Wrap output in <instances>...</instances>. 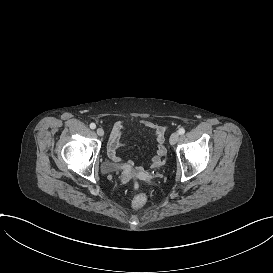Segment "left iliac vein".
<instances>
[{
	"label": "left iliac vein",
	"mask_w": 273,
	"mask_h": 273,
	"mask_svg": "<svg viewBox=\"0 0 273 273\" xmlns=\"http://www.w3.org/2000/svg\"><path fill=\"white\" fill-rule=\"evenodd\" d=\"M178 139H179V134L177 132H174V133H172V135H171V137L169 139V142H170L171 145H174V144H176Z\"/></svg>",
	"instance_id": "4c4485c4"
}]
</instances>
